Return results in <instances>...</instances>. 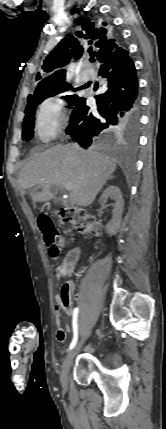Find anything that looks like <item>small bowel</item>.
I'll return each mask as SVG.
<instances>
[{
  "instance_id": "obj_1",
  "label": "small bowel",
  "mask_w": 166,
  "mask_h": 429,
  "mask_svg": "<svg viewBox=\"0 0 166 429\" xmlns=\"http://www.w3.org/2000/svg\"><path fill=\"white\" fill-rule=\"evenodd\" d=\"M81 255V249L78 246H74L67 250L64 258L62 259L61 264L56 269V279L60 280L63 277H69L74 272V267ZM69 286V291L66 293L63 286L60 288L59 293L56 296V338L59 342L63 343L66 340V332H70V326L63 327L61 325V312L63 311L67 315L73 314L72 306V289L73 286L71 283H67ZM79 295H77V298Z\"/></svg>"
}]
</instances>
